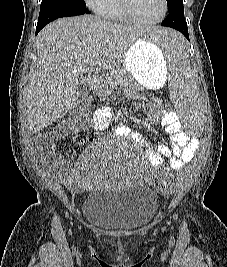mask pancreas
<instances>
[{
    "instance_id": "pancreas-1",
    "label": "pancreas",
    "mask_w": 227,
    "mask_h": 267,
    "mask_svg": "<svg viewBox=\"0 0 227 267\" xmlns=\"http://www.w3.org/2000/svg\"><path fill=\"white\" fill-rule=\"evenodd\" d=\"M130 84L136 85L133 78L125 70L115 69L110 71L102 80L100 93L103 96H108L117 85L128 86Z\"/></svg>"
}]
</instances>
